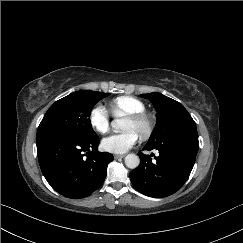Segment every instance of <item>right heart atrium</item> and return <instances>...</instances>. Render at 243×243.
<instances>
[{"label":"right heart atrium","mask_w":243,"mask_h":243,"mask_svg":"<svg viewBox=\"0 0 243 243\" xmlns=\"http://www.w3.org/2000/svg\"><path fill=\"white\" fill-rule=\"evenodd\" d=\"M91 127L99 133H105L110 127V115L101 105H95L88 114Z\"/></svg>","instance_id":"right-heart-atrium-1"}]
</instances>
